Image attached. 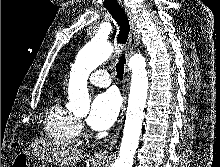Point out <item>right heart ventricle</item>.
Here are the masks:
<instances>
[{
    "mask_svg": "<svg viewBox=\"0 0 220 167\" xmlns=\"http://www.w3.org/2000/svg\"><path fill=\"white\" fill-rule=\"evenodd\" d=\"M44 129L46 135L61 146L75 145L80 132L76 117L63 106L60 98L51 103Z\"/></svg>",
    "mask_w": 220,
    "mask_h": 167,
    "instance_id": "e07e8e85",
    "label": "right heart ventricle"
}]
</instances>
